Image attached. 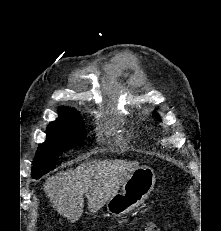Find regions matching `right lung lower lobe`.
I'll list each match as a JSON object with an SVG mask.
<instances>
[{
	"mask_svg": "<svg viewBox=\"0 0 221 231\" xmlns=\"http://www.w3.org/2000/svg\"><path fill=\"white\" fill-rule=\"evenodd\" d=\"M32 176H33L34 178H39L41 175H40L39 173H32Z\"/></svg>",
	"mask_w": 221,
	"mask_h": 231,
	"instance_id": "right-lung-lower-lobe-1",
	"label": "right lung lower lobe"
}]
</instances>
